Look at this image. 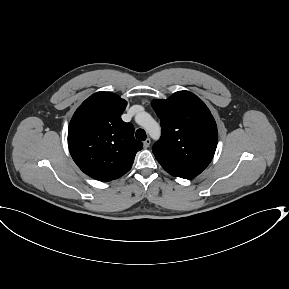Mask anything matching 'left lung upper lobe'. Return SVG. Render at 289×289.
<instances>
[{"label":"left lung upper lobe","mask_w":289,"mask_h":289,"mask_svg":"<svg viewBox=\"0 0 289 289\" xmlns=\"http://www.w3.org/2000/svg\"><path fill=\"white\" fill-rule=\"evenodd\" d=\"M162 136L153 153L169 174L192 179L211 162L218 141L216 122L207 106L188 91L174 93L167 100H154Z\"/></svg>","instance_id":"obj_1"}]
</instances>
